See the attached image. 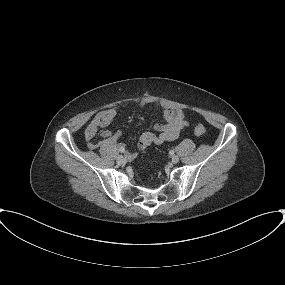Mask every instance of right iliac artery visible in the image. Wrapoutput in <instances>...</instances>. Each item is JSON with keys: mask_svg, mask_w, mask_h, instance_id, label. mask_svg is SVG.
Masks as SVG:
<instances>
[{"mask_svg": "<svg viewBox=\"0 0 285 285\" xmlns=\"http://www.w3.org/2000/svg\"><path fill=\"white\" fill-rule=\"evenodd\" d=\"M119 151H120L121 153L125 152V150H124V149H120Z\"/></svg>", "mask_w": 285, "mask_h": 285, "instance_id": "right-iliac-artery-1", "label": "right iliac artery"}]
</instances>
